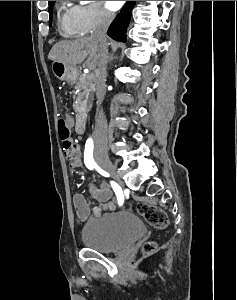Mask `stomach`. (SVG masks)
Returning a JSON list of instances; mask_svg holds the SVG:
<instances>
[{
	"mask_svg": "<svg viewBox=\"0 0 237 300\" xmlns=\"http://www.w3.org/2000/svg\"><path fill=\"white\" fill-rule=\"evenodd\" d=\"M51 69L57 79L67 81L70 85H74L78 79V67H68L65 63H60V61H53Z\"/></svg>",
	"mask_w": 237,
	"mask_h": 300,
	"instance_id": "stomach-1",
	"label": "stomach"
}]
</instances>
